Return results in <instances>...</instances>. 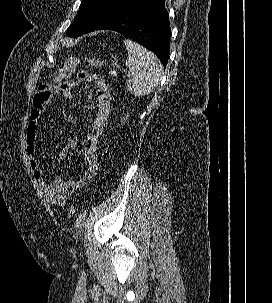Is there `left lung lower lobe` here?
<instances>
[{
	"instance_id": "obj_1",
	"label": "left lung lower lobe",
	"mask_w": 272,
	"mask_h": 303,
	"mask_svg": "<svg viewBox=\"0 0 272 303\" xmlns=\"http://www.w3.org/2000/svg\"><path fill=\"white\" fill-rule=\"evenodd\" d=\"M164 3L165 0H141L91 31L119 32L154 52L165 67L169 57L171 29Z\"/></svg>"
}]
</instances>
